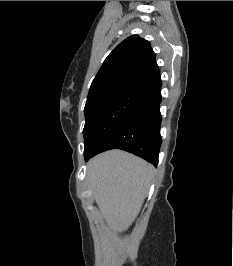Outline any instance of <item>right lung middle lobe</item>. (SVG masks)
I'll list each match as a JSON object with an SVG mask.
<instances>
[{
	"label": "right lung middle lobe",
	"mask_w": 233,
	"mask_h": 266,
	"mask_svg": "<svg viewBox=\"0 0 233 266\" xmlns=\"http://www.w3.org/2000/svg\"><path fill=\"white\" fill-rule=\"evenodd\" d=\"M146 95L143 91H118L87 100L84 155L96 150Z\"/></svg>",
	"instance_id": "right-lung-middle-lobe-1"
}]
</instances>
